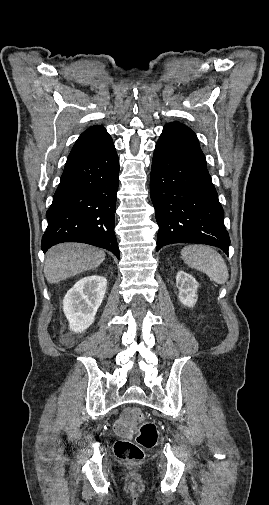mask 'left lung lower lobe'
Instances as JSON below:
<instances>
[{"label": "left lung lower lobe", "instance_id": "0a47b994", "mask_svg": "<svg viewBox=\"0 0 269 505\" xmlns=\"http://www.w3.org/2000/svg\"><path fill=\"white\" fill-rule=\"evenodd\" d=\"M150 194L159 226L156 251L172 243H200L228 255L223 208L205 156L195 133L181 123L166 124L156 144Z\"/></svg>", "mask_w": 269, "mask_h": 505}]
</instances>
